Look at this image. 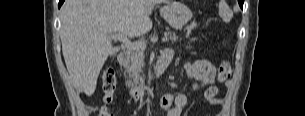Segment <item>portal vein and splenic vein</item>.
Returning <instances> with one entry per match:
<instances>
[{
    "label": "portal vein and splenic vein",
    "mask_w": 305,
    "mask_h": 116,
    "mask_svg": "<svg viewBox=\"0 0 305 116\" xmlns=\"http://www.w3.org/2000/svg\"><path fill=\"white\" fill-rule=\"evenodd\" d=\"M111 39H116V40H120L123 43H125V45L128 48L131 49H146V43L144 41H137L132 43L126 36H124L122 33H116V34H107ZM168 40L167 36L162 38L163 42H166Z\"/></svg>",
    "instance_id": "1"
}]
</instances>
